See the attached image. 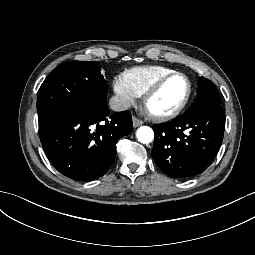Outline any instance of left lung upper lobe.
Masks as SVG:
<instances>
[{
  "label": "left lung upper lobe",
  "instance_id": "1",
  "mask_svg": "<svg viewBox=\"0 0 255 255\" xmlns=\"http://www.w3.org/2000/svg\"><path fill=\"white\" fill-rule=\"evenodd\" d=\"M197 100H209L220 104V96L216 86L208 79L200 77L198 81Z\"/></svg>",
  "mask_w": 255,
  "mask_h": 255
}]
</instances>
